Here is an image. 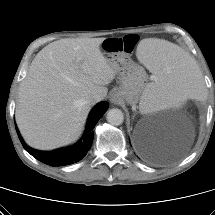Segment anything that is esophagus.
<instances>
[{
	"label": "esophagus",
	"instance_id": "esophagus-1",
	"mask_svg": "<svg viewBox=\"0 0 215 215\" xmlns=\"http://www.w3.org/2000/svg\"><path fill=\"white\" fill-rule=\"evenodd\" d=\"M110 101L113 104H118L120 102V97H119L118 93L114 92L110 97Z\"/></svg>",
	"mask_w": 215,
	"mask_h": 215
}]
</instances>
